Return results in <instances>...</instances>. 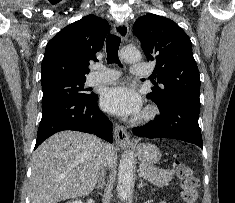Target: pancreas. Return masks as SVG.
Returning a JSON list of instances; mask_svg holds the SVG:
<instances>
[{"instance_id": "cf45deb5", "label": "pancreas", "mask_w": 235, "mask_h": 203, "mask_svg": "<svg viewBox=\"0 0 235 203\" xmlns=\"http://www.w3.org/2000/svg\"><path fill=\"white\" fill-rule=\"evenodd\" d=\"M140 169L145 172L144 179L157 186H165L173 179V172L156 168L153 165L141 164Z\"/></svg>"}]
</instances>
